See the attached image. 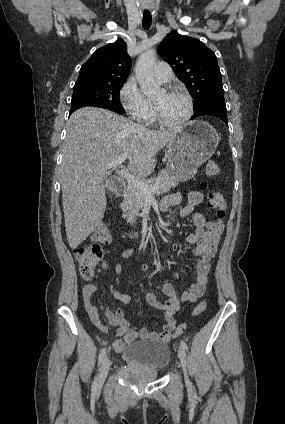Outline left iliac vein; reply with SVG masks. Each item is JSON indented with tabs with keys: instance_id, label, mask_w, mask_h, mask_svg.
<instances>
[{
	"instance_id": "obj_1",
	"label": "left iliac vein",
	"mask_w": 285,
	"mask_h": 424,
	"mask_svg": "<svg viewBox=\"0 0 285 424\" xmlns=\"http://www.w3.org/2000/svg\"><path fill=\"white\" fill-rule=\"evenodd\" d=\"M178 357L181 361V365L183 368V372L185 375V381L188 384L189 383V379H188V375H187V368H186V364H187V356H186V351L185 349L181 346L178 350Z\"/></svg>"
}]
</instances>
